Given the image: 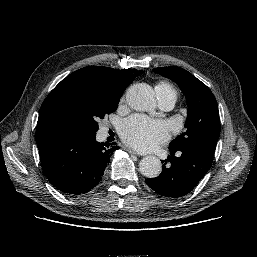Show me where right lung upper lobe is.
<instances>
[{
  "label": "right lung upper lobe",
  "mask_w": 257,
  "mask_h": 257,
  "mask_svg": "<svg viewBox=\"0 0 257 257\" xmlns=\"http://www.w3.org/2000/svg\"><path fill=\"white\" fill-rule=\"evenodd\" d=\"M134 70L87 66L63 79L49 93L40 108L36 129L37 146L51 138L72 133L62 110L63 97L71 86L78 83H88L100 91L122 95L126 86L136 77Z\"/></svg>",
  "instance_id": "1"
}]
</instances>
